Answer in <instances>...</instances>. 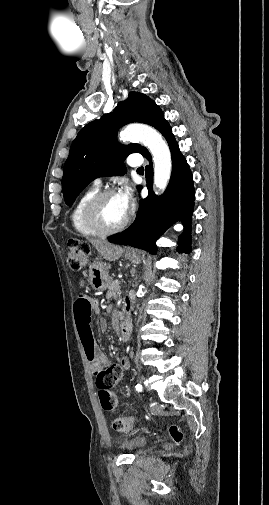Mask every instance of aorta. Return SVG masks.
<instances>
[{"mask_svg": "<svg viewBox=\"0 0 269 505\" xmlns=\"http://www.w3.org/2000/svg\"><path fill=\"white\" fill-rule=\"evenodd\" d=\"M123 141L143 143L153 156L154 186L163 192L171 176V153L166 141L154 128L147 125H129L120 133Z\"/></svg>", "mask_w": 269, "mask_h": 505, "instance_id": "aorta-1", "label": "aorta"}]
</instances>
